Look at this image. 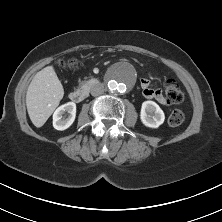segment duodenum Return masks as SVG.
Listing matches in <instances>:
<instances>
[{"label":"duodenum","instance_id":"410a0bca","mask_svg":"<svg viewBox=\"0 0 222 222\" xmlns=\"http://www.w3.org/2000/svg\"><path fill=\"white\" fill-rule=\"evenodd\" d=\"M98 84L99 81L96 78L89 80L83 86L73 90L70 93L69 95L70 100L76 103L82 102L88 96L90 89Z\"/></svg>","mask_w":222,"mask_h":222}]
</instances>
